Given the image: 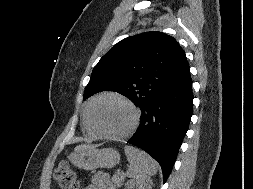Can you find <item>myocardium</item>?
<instances>
[{"mask_svg": "<svg viewBox=\"0 0 253 189\" xmlns=\"http://www.w3.org/2000/svg\"><path fill=\"white\" fill-rule=\"evenodd\" d=\"M105 98H116V99L122 101L123 103H125L131 109V111L133 113V120H132L131 125L129 126V128L126 131L119 133V134H110V133H106V132L102 131L96 125L94 118H93L94 107L100 100L105 99ZM87 116H88L89 125H90L91 129L94 131V133L102 138L110 139V140H121V139H125V138L131 136L138 128L139 123H140V119H141V113H140V110L138 109V107L130 99H128L124 95L116 93V92H106V93H102V94L98 95L97 97H95L91 101Z\"/></svg>", "mask_w": 253, "mask_h": 189, "instance_id": "myocardium-1", "label": "myocardium"}]
</instances>
